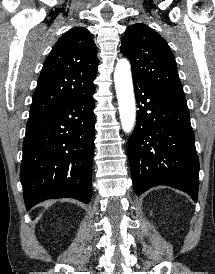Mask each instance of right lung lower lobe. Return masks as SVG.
<instances>
[{"label":"right lung lower lobe","instance_id":"right-lung-lower-lobe-1","mask_svg":"<svg viewBox=\"0 0 215 274\" xmlns=\"http://www.w3.org/2000/svg\"><path fill=\"white\" fill-rule=\"evenodd\" d=\"M95 86L28 121L20 181L25 206L70 197H92Z\"/></svg>","mask_w":215,"mask_h":274}]
</instances>
